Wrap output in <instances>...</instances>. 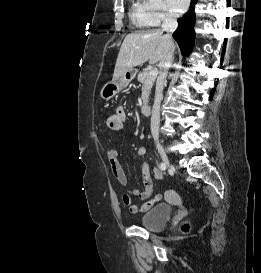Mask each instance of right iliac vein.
Segmentation results:
<instances>
[{
  "instance_id": "obj_1",
  "label": "right iliac vein",
  "mask_w": 261,
  "mask_h": 273,
  "mask_svg": "<svg viewBox=\"0 0 261 273\" xmlns=\"http://www.w3.org/2000/svg\"><path fill=\"white\" fill-rule=\"evenodd\" d=\"M155 144H156V148L158 150V153H159L162 161L164 162V164L166 166H170V162H169L168 156L166 154V151L163 148V146L161 145V143L159 142L158 138H155Z\"/></svg>"
}]
</instances>
